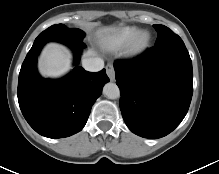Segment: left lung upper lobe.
<instances>
[{
    "instance_id": "left-lung-upper-lobe-1",
    "label": "left lung upper lobe",
    "mask_w": 219,
    "mask_h": 174,
    "mask_svg": "<svg viewBox=\"0 0 219 174\" xmlns=\"http://www.w3.org/2000/svg\"><path fill=\"white\" fill-rule=\"evenodd\" d=\"M154 28L158 32V38L156 40L155 46L166 44H184L182 39L168 27L156 24L154 25Z\"/></svg>"
}]
</instances>
